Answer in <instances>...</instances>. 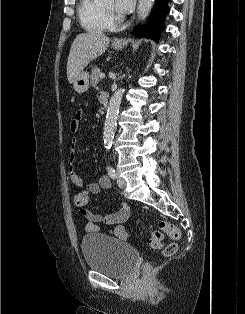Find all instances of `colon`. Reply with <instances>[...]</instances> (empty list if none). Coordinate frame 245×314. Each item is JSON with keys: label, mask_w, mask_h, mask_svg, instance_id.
<instances>
[{"label": "colon", "mask_w": 245, "mask_h": 314, "mask_svg": "<svg viewBox=\"0 0 245 314\" xmlns=\"http://www.w3.org/2000/svg\"><path fill=\"white\" fill-rule=\"evenodd\" d=\"M89 201V193L85 190L77 192L73 197V202L76 207H78L81 211L85 210ZM160 231H153L151 238L149 240V244L154 249H161L163 248V254L165 256L172 255L177 248L176 242L181 239V232L180 230L172 223L167 221H161L159 224ZM162 232L166 233L171 239L172 243L163 247V234ZM149 265L144 266V270H148Z\"/></svg>", "instance_id": "5ec220e1"}]
</instances>
